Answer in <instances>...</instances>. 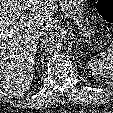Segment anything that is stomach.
<instances>
[{"mask_svg":"<svg viewBox=\"0 0 113 113\" xmlns=\"http://www.w3.org/2000/svg\"><path fill=\"white\" fill-rule=\"evenodd\" d=\"M84 0H59L65 15L73 20L75 31L79 36L90 38L93 34V26L84 18L83 15Z\"/></svg>","mask_w":113,"mask_h":113,"instance_id":"stomach-1","label":"stomach"}]
</instances>
